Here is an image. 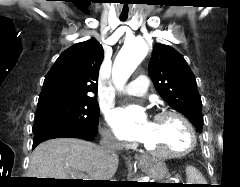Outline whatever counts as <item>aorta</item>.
Wrapping results in <instances>:
<instances>
[{
	"label": "aorta",
	"instance_id": "1",
	"mask_svg": "<svg viewBox=\"0 0 240 187\" xmlns=\"http://www.w3.org/2000/svg\"><path fill=\"white\" fill-rule=\"evenodd\" d=\"M147 50L148 46L141 38H134L125 43L117 55L112 69V79L117 88L125 85L138 64L146 56Z\"/></svg>",
	"mask_w": 240,
	"mask_h": 187
}]
</instances>
